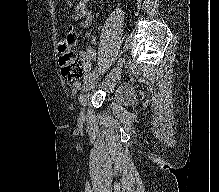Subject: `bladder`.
<instances>
[{
  "mask_svg": "<svg viewBox=\"0 0 219 192\" xmlns=\"http://www.w3.org/2000/svg\"><path fill=\"white\" fill-rule=\"evenodd\" d=\"M110 103L119 107L129 108L134 101V92L131 86L127 83H117L108 96Z\"/></svg>",
  "mask_w": 219,
  "mask_h": 192,
  "instance_id": "1",
  "label": "bladder"
}]
</instances>
